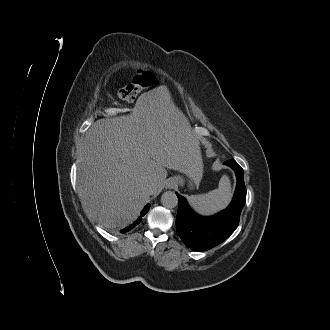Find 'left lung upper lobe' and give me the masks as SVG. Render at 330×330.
<instances>
[{"label": "left lung upper lobe", "mask_w": 330, "mask_h": 330, "mask_svg": "<svg viewBox=\"0 0 330 330\" xmlns=\"http://www.w3.org/2000/svg\"><path fill=\"white\" fill-rule=\"evenodd\" d=\"M245 200H246V196L244 195L242 198L243 203H245Z\"/></svg>", "instance_id": "5c2ea615"}]
</instances>
